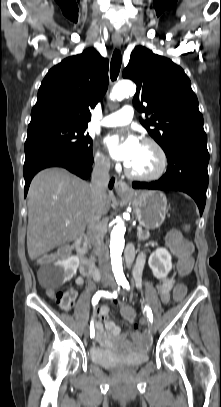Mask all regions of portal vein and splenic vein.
Wrapping results in <instances>:
<instances>
[{"instance_id":"obj_1","label":"portal vein and splenic vein","mask_w":221,"mask_h":407,"mask_svg":"<svg viewBox=\"0 0 221 407\" xmlns=\"http://www.w3.org/2000/svg\"><path fill=\"white\" fill-rule=\"evenodd\" d=\"M69 222H67L66 224H68ZM137 231L138 232H140V231H142V228L141 227H137Z\"/></svg>"}]
</instances>
